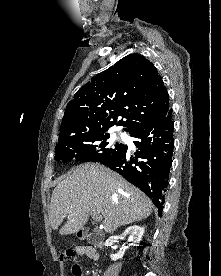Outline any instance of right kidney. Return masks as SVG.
I'll return each mask as SVG.
<instances>
[{
  "label": "right kidney",
  "mask_w": 221,
  "mask_h": 276,
  "mask_svg": "<svg viewBox=\"0 0 221 276\" xmlns=\"http://www.w3.org/2000/svg\"><path fill=\"white\" fill-rule=\"evenodd\" d=\"M143 234H144V228L143 227H140V226H137V225H133V226L128 227L124 231V233L122 234V236H112L109 239H107L106 242H105V246H111V245H113V243L117 242V240L119 238L125 237V236L129 237V241L132 242L131 245L137 246L140 243ZM127 248L128 247L125 246L123 248V250H121L117 254L110 255L111 260L112 261H116L118 259H121L123 257V255L125 253V250Z\"/></svg>",
  "instance_id": "ca27d5eb"
}]
</instances>
